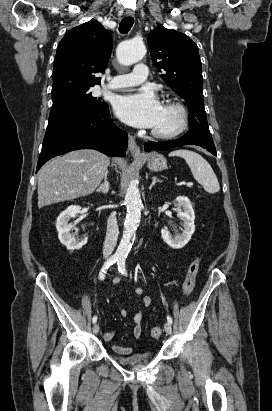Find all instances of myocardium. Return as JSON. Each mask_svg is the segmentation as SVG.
Instances as JSON below:
<instances>
[{"mask_svg":"<svg viewBox=\"0 0 272 411\" xmlns=\"http://www.w3.org/2000/svg\"><path fill=\"white\" fill-rule=\"evenodd\" d=\"M164 107L171 108L177 114V123L176 125L170 130H158L153 128L151 133L155 138L168 140L179 136L184 130L187 128L188 125V113L186 108L182 103L174 99H168L164 103Z\"/></svg>","mask_w":272,"mask_h":411,"instance_id":"myocardium-1","label":"myocardium"}]
</instances>
